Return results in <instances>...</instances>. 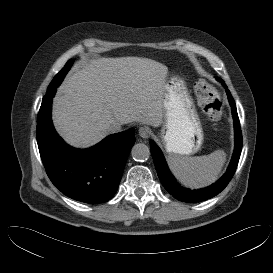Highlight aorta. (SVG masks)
<instances>
[{"instance_id": "aorta-1", "label": "aorta", "mask_w": 273, "mask_h": 273, "mask_svg": "<svg viewBox=\"0 0 273 273\" xmlns=\"http://www.w3.org/2000/svg\"><path fill=\"white\" fill-rule=\"evenodd\" d=\"M131 155L135 161L144 162L150 156V149L144 143H138L132 147Z\"/></svg>"}]
</instances>
